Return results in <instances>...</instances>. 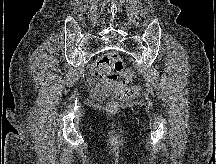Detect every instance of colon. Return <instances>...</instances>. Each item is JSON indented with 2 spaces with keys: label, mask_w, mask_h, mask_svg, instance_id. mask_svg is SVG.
Instances as JSON below:
<instances>
[{
  "label": "colon",
  "mask_w": 216,
  "mask_h": 164,
  "mask_svg": "<svg viewBox=\"0 0 216 164\" xmlns=\"http://www.w3.org/2000/svg\"><path fill=\"white\" fill-rule=\"evenodd\" d=\"M97 70L103 82L113 90L120 103L127 104L139 94L133 84V73L116 53H108L97 62ZM112 109L115 105L111 106Z\"/></svg>",
  "instance_id": "colon-1"
}]
</instances>
